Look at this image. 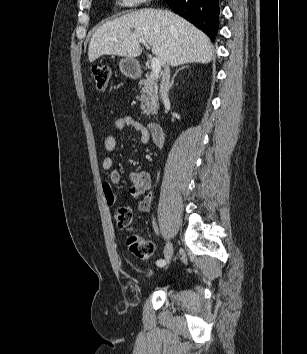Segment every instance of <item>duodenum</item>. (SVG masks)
Here are the masks:
<instances>
[{"mask_svg":"<svg viewBox=\"0 0 307 354\" xmlns=\"http://www.w3.org/2000/svg\"><path fill=\"white\" fill-rule=\"evenodd\" d=\"M147 128L151 134V137L156 145H162L165 141V133L162 127L154 122L147 124Z\"/></svg>","mask_w":307,"mask_h":354,"instance_id":"410a0bca","label":"duodenum"}]
</instances>
